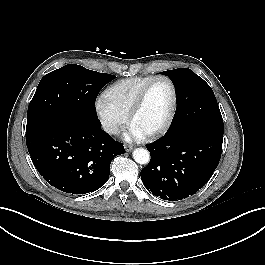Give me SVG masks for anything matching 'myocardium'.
Listing matches in <instances>:
<instances>
[{
	"label": "myocardium",
	"instance_id": "obj_1",
	"mask_svg": "<svg viewBox=\"0 0 265 265\" xmlns=\"http://www.w3.org/2000/svg\"><path fill=\"white\" fill-rule=\"evenodd\" d=\"M159 80H165L169 83L170 87H171V91H172V104L170 107V111L167 115L166 120L163 122V124L158 127L157 129H155L154 131L145 134V138L147 139H156L160 136H162L163 134H165L167 132V130L170 128L175 114H176V110H177V104H178V93H177V88L176 85L174 83V81L166 76V75H157L154 76L139 92V94L137 95L130 111L128 114V122L129 124H132V121L134 119V117L137 115V113L140 111V109L142 108L146 96L150 90V88L152 87V85Z\"/></svg>",
	"mask_w": 265,
	"mask_h": 265
}]
</instances>
